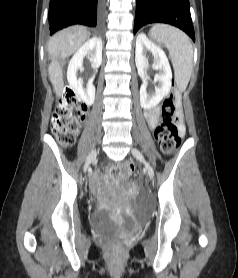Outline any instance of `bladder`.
<instances>
[{"mask_svg":"<svg viewBox=\"0 0 238 278\" xmlns=\"http://www.w3.org/2000/svg\"><path fill=\"white\" fill-rule=\"evenodd\" d=\"M90 223L92 228L101 234H108L117 228V223L110 218L106 210L95 211Z\"/></svg>","mask_w":238,"mask_h":278,"instance_id":"1","label":"bladder"}]
</instances>
